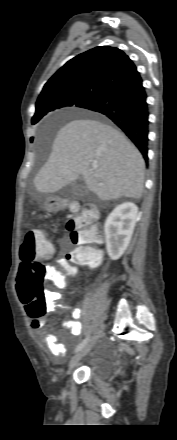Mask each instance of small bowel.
I'll list each match as a JSON object with an SVG mask.
<instances>
[{"mask_svg":"<svg viewBox=\"0 0 177 440\" xmlns=\"http://www.w3.org/2000/svg\"><path fill=\"white\" fill-rule=\"evenodd\" d=\"M65 262L61 261L60 263L53 265L52 269V278L55 283L58 285H65L66 279H62L57 270L60 266L64 265ZM49 305L48 311H56L60 306L61 295L57 292H48L47 294ZM82 316V309L80 307H76L72 309L71 317L67 318L63 322V326L73 335L80 336L82 334V324L80 322V318ZM45 319L43 317H33L32 318V328L36 330L43 341L46 343L50 352L57 357L64 356L66 353V346L60 342H58L57 337L52 333L49 329H44Z\"/></svg>","mask_w":177,"mask_h":440,"instance_id":"small-bowel-1","label":"small bowel"}]
</instances>
